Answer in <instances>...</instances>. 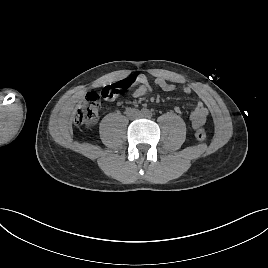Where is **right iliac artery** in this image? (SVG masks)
<instances>
[{"label":"right iliac artery","mask_w":268,"mask_h":268,"mask_svg":"<svg viewBox=\"0 0 268 268\" xmlns=\"http://www.w3.org/2000/svg\"><path fill=\"white\" fill-rule=\"evenodd\" d=\"M140 113L146 115L148 113V110L146 108H142Z\"/></svg>","instance_id":"right-iliac-artery-1"}]
</instances>
